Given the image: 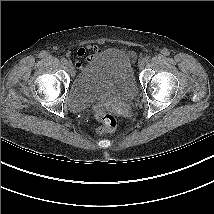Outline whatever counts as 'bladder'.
Returning <instances> with one entry per match:
<instances>
[{"label":"bladder","instance_id":"31cf9c89","mask_svg":"<svg viewBox=\"0 0 214 214\" xmlns=\"http://www.w3.org/2000/svg\"><path fill=\"white\" fill-rule=\"evenodd\" d=\"M136 93L129 58L118 49H107L73 79L68 102L71 109L77 110L101 99L129 100Z\"/></svg>","mask_w":214,"mask_h":214}]
</instances>
